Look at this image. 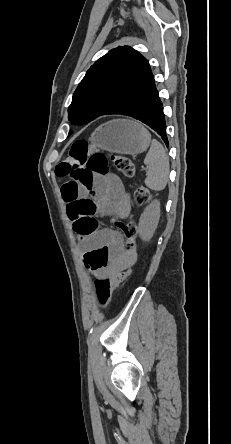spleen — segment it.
<instances>
[{"mask_svg":"<svg viewBox=\"0 0 231 444\" xmlns=\"http://www.w3.org/2000/svg\"><path fill=\"white\" fill-rule=\"evenodd\" d=\"M144 164L148 167L145 185L154 191L163 190L169 177V158L163 145L155 139L151 142Z\"/></svg>","mask_w":231,"mask_h":444,"instance_id":"spleen-1","label":"spleen"}]
</instances>
